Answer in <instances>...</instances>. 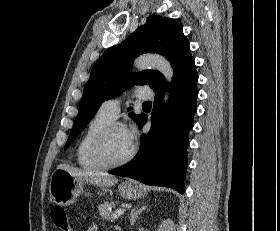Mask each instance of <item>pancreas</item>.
Returning a JSON list of instances; mask_svg holds the SVG:
<instances>
[{"label":"pancreas","mask_w":280,"mask_h":231,"mask_svg":"<svg viewBox=\"0 0 280 231\" xmlns=\"http://www.w3.org/2000/svg\"><path fill=\"white\" fill-rule=\"evenodd\" d=\"M117 203H119V201H104V203H100V205H98L99 213L102 219H110L112 213L110 207H115Z\"/></svg>","instance_id":"obj_1"}]
</instances>
